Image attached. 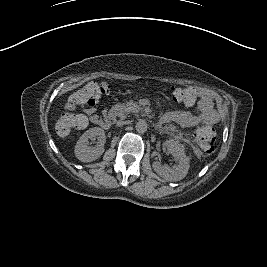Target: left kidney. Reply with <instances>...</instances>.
Segmentation results:
<instances>
[{
  "label": "left kidney",
  "mask_w": 267,
  "mask_h": 267,
  "mask_svg": "<svg viewBox=\"0 0 267 267\" xmlns=\"http://www.w3.org/2000/svg\"><path fill=\"white\" fill-rule=\"evenodd\" d=\"M164 144L177 164L169 167L168 165H162L159 161H155L152 164L154 171L168 181H177L184 178L190 167V158L186 156L184 147L173 140H166Z\"/></svg>",
  "instance_id": "5707ae66"
}]
</instances>
